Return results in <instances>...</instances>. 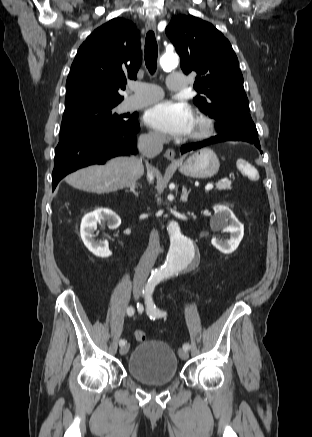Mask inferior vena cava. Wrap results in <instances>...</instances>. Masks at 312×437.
I'll use <instances>...</instances> for the list:
<instances>
[{
  "mask_svg": "<svg viewBox=\"0 0 312 437\" xmlns=\"http://www.w3.org/2000/svg\"><path fill=\"white\" fill-rule=\"evenodd\" d=\"M166 141V136L160 132H149L143 134L138 139L139 152L148 158H153L159 154L163 149V144ZM147 178L149 182L153 180V172L149 168L147 171ZM160 252L159 234L157 230H153L150 234L149 244L142 255L136 269L137 274H147L151 271L157 256Z\"/></svg>",
  "mask_w": 312,
  "mask_h": 437,
  "instance_id": "602c4592",
  "label": "inferior vena cava"
}]
</instances>
